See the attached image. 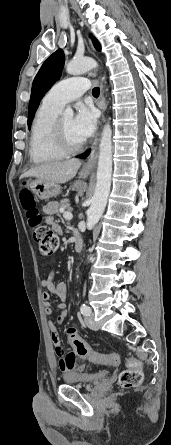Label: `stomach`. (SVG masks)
Segmentation results:
<instances>
[{"label": "stomach", "mask_w": 171, "mask_h": 445, "mask_svg": "<svg viewBox=\"0 0 171 445\" xmlns=\"http://www.w3.org/2000/svg\"><path fill=\"white\" fill-rule=\"evenodd\" d=\"M26 187L41 200H47L49 198L56 197L61 192V187L58 183L42 180L39 178L29 180L26 184Z\"/></svg>", "instance_id": "obj_1"}]
</instances>
